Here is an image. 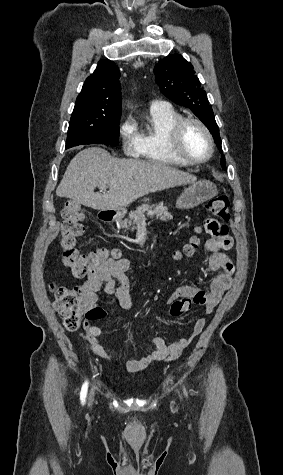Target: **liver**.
Masks as SVG:
<instances>
[{
  "label": "liver",
  "instance_id": "1",
  "mask_svg": "<svg viewBox=\"0 0 283 475\" xmlns=\"http://www.w3.org/2000/svg\"><path fill=\"white\" fill-rule=\"evenodd\" d=\"M196 180V176L167 164L119 160L102 148H87L71 160L56 194L93 210H122L146 194L195 184ZM96 186L109 188V192H94Z\"/></svg>",
  "mask_w": 283,
  "mask_h": 475
}]
</instances>
